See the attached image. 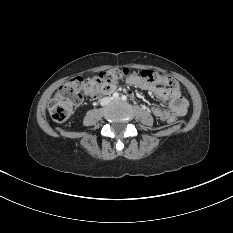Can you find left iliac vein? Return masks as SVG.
Returning <instances> with one entry per match:
<instances>
[{
	"label": "left iliac vein",
	"instance_id": "left-iliac-vein-1",
	"mask_svg": "<svg viewBox=\"0 0 233 233\" xmlns=\"http://www.w3.org/2000/svg\"><path fill=\"white\" fill-rule=\"evenodd\" d=\"M114 100H115V101H119V100H120V98H115Z\"/></svg>",
	"mask_w": 233,
	"mask_h": 233
}]
</instances>
